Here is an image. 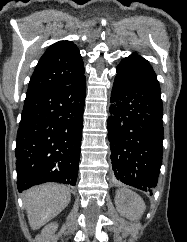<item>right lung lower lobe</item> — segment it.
Returning <instances> with one entry per match:
<instances>
[{
	"instance_id": "right-lung-lower-lobe-1",
	"label": "right lung lower lobe",
	"mask_w": 187,
	"mask_h": 242,
	"mask_svg": "<svg viewBox=\"0 0 187 242\" xmlns=\"http://www.w3.org/2000/svg\"><path fill=\"white\" fill-rule=\"evenodd\" d=\"M86 77L26 95L16 141L19 192L45 182L75 186L78 175Z\"/></svg>"
}]
</instances>
